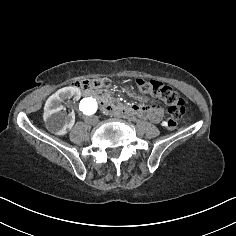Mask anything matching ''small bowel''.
<instances>
[{
    "label": "small bowel",
    "mask_w": 236,
    "mask_h": 236,
    "mask_svg": "<svg viewBox=\"0 0 236 236\" xmlns=\"http://www.w3.org/2000/svg\"><path fill=\"white\" fill-rule=\"evenodd\" d=\"M136 115L138 117L147 118L154 123H159L162 119V109L156 105H135Z\"/></svg>",
    "instance_id": "obj_1"
}]
</instances>
